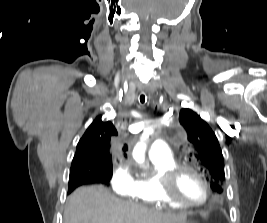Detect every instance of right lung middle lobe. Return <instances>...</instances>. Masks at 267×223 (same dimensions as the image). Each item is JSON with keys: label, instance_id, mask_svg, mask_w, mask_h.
I'll return each mask as SVG.
<instances>
[{"label": "right lung middle lobe", "instance_id": "dd1d6c3e", "mask_svg": "<svg viewBox=\"0 0 267 223\" xmlns=\"http://www.w3.org/2000/svg\"><path fill=\"white\" fill-rule=\"evenodd\" d=\"M79 167H80V166H78L77 169H78ZM75 174H76V173H75ZM71 175H74V174H72L71 171H70V176H71ZM105 176L111 178V176H112V168H110V169L108 168V172L105 173Z\"/></svg>", "mask_w": 267, "mask_h": 223}]
</instances>
